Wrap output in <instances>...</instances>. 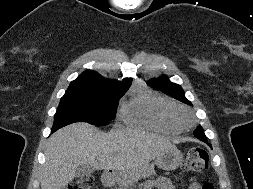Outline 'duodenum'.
Instances as JSON below:
<instances>
[{"label": "duodenum", "instance_id": "duodenum-1", "mask_svg": "<svg viewBox=\"0 0 253 189\" xmlns=\"http://www.w3.org/2000/svg\"><path fill=\"white\" fill-rule=\"evenodd\" d=\"M102 182L105 186H112L114 182V172L112 170H105L102 174Z\"/></svg>", "mask_w": 253, "mask_h": 189}]
</instances>
